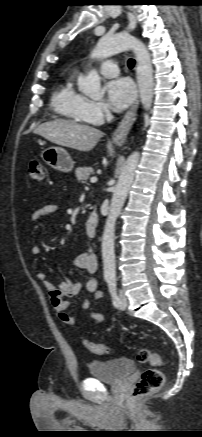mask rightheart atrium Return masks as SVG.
Returning <instances> with one entry per match:
<instances>
[{"label": "right heart atrium", "instance_id": "right-heart-atrium-1", "mask_svg": "<svg viewBox=\"0 0 202 437\" xmlns=\"http://www.w3.org/2000/svg\"><path fill=\"white\" fill-rule=\"evenodd\" d=\"M84 114L90 122L99 123L109 114L105 103L87 99L84 104Z\"/></svg>", "mask_w": 202, "mask_h": 437}]
</instances>
